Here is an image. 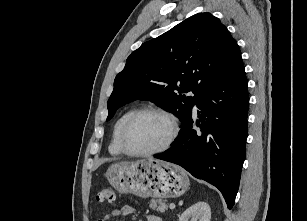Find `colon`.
I'll list each match as a JSON object with an SVG mask.
<instances>
[{"label":"colon","instance_id":"1","mask_svg":"<svg viewBox=\"0 0 307 221\" xmlns=\"http://www.w3.org/2000/svg\"><path fill=\"white\" fill-rule=\"evenodd\" d=\"M115 200L114 190L109 186H104L97 194V201L101 203H112Z\"/></svg>","mask_w":307,"mask_h":221}]
</instances>
